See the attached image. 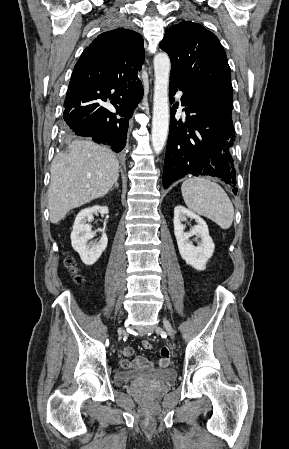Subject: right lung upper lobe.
I'll return each mask as SVG.
<instances>
[{"mask_svg": "<svg viewBox=\"0 0 289 449\" xmlns=\"http://www.w3.org/2000/svg\"><path fill=\"white\" fill-rule=\"evenodd\" d=\"M140 34L117 28L100 34L77 61L72 77L117 83L137 77L145 52Z\"/></svg>", "mask_w": 289, "mask_h": 449, "instance_id": "obj_1", "label": "right lung upper lobe"}]
</instances>
